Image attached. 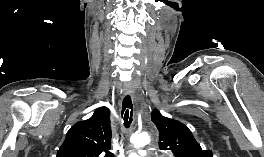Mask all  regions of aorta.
Instances as JSON below:
<instances>
[{
  "instance_id": "1",
  "label": "aorta",
  "mask_w": 264,
  "mask_h": 157,
  "mask_svg": "<svg viewBox=\"0 0 264 157\" xmlns=\"http://www.w3.org/2000/svg\"><path fill=\"white\" fill-rule=\"evenodd\" d=\"M150 143V138L146 133H136L132 136L133 146L139 150L141 155L145 154L143 148Z\"/></svg>"
}]
</instances>
